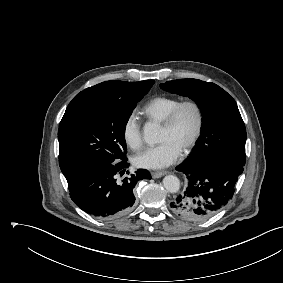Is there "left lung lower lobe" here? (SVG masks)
I'll list each match as a JSON object with an SVG mask.
<instances>
[{
    "instance_id": "0a47b994",
    "label": "left lung lower lobe",
    "mask_w": 283,
    "mask_h": 283,
    "mask_svg": "<svg viewBox=\"0 0 283 283\" xmlns=\"http://www.w3.org/2000/svg\"><path fill=\"white\" fill-rule=\"evenodd\" d=\"M188 180L187 188L170 203L171 210L188 221H204L225 206L233 195L235 184L243 166L232 162H210L190 168L185 164L176 167Z\"/></svg>"
}]
</instances>
